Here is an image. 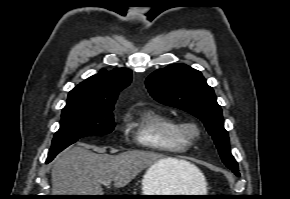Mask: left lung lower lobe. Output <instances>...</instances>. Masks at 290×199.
<instances>
[{"label":"left lung lower lobe","mask_w":290,"mask_h":199,"mask_svg":"<svg viewBox=\"0 0 290 199\" xmlns=\"http://www.w3.org/2000/svg\"><path fill=\"white\" fill-rule=\"evenodd\" d=\"M233 172L237 175V176H240L239 172L236 171V170H233Z\"/></svg>","instance_id":"left-lung-lower-lobe-1"}]
</instances>
